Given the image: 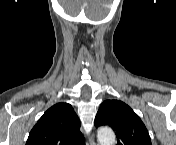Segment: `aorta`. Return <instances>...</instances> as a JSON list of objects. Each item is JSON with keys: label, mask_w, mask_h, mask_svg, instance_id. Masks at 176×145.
Returning <instances> with one entry per match:
<instances>
[{"label": "aorta", "mask_w": 176, "mask_h": 145, "mask_svg": "<svg viewBox=\"0 0 176 145\" xmlns=\"http://www.w3.org/2000/svg\"><path fill=\"white\" fill-rule=\"evenodd\" d=\"M97 138L100 145H113L115 142V134L110 128H100L97 131Z\"/></svg>", "instance_id": "aorta-1"}]
</instances>
